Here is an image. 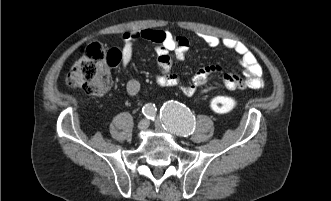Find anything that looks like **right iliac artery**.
<instances>
[{
    "label": "right iliac artery",
    "mask_w": 331,
    "mask_h": 201,
    "mask_svg": "<svg viewBox=\"0 0 331 201\" xmlns=\"http://www.w3.org/2000/svg\"><path fill=\"white\" fill-rule=\"evenodd\" d=\"M156 107L155 104L148 103L142 108L143 114L146 116L148 119H154L156 116Z\"/></svg>",
    "instance_id": "1"
}]
</instances>
